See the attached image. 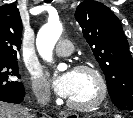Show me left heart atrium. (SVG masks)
<instances>
[{
    "mask_svg": "<svg viewBox=\"0 0 133 118\" xmlns=\"http://www.w3.org/2000/svg\"><path fill=\"white\" fill-rule=\"evenodd\" d=\"M75 86L74 71H68L53 80V89L57 95L70 98Z\"/></svg>",
    "mask_w": 133,
    "mask_h": 118,
    "instance_id": "left-heart-atrium-1",
    "label": "left heart atrium"
}]
</instances>
